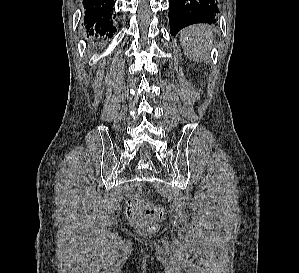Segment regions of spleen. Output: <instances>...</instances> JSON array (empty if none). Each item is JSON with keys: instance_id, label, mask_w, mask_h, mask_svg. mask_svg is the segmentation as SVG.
Returning a JSON list of instances; mask_svg holds the SVG:
<instances>
[{"instance_id": "3e777b00", "label": "spleen", "mask_w": 299, "mask_h": 273, "mask_svg": "<svg viewBox=\"0 0 299 273\" xmlns=\"http://www.w3.org/2000/svg\"><path fill=\"white\" fill-rule=\"evenodd\" d=\"M212 32L206 25H193L181 31L180 41L187 59L203 62L210 56Z\"/></svg>"}]
</instances>
